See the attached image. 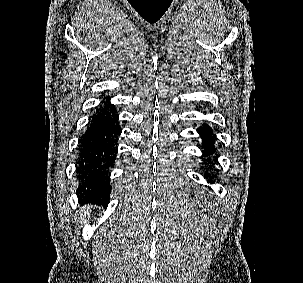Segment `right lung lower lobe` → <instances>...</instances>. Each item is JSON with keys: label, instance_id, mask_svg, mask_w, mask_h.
I'll return each instance as SVG.
<instances>
[{"label": "right lung lower lobe", "instance_id": "1", "mask_svg": "<svg viewBox=\"0 0 303 283\" xmlns=\"http://www.w3.org/2000/svg\"><path fill=\"white\" fill-rule=\"evenodd\" d=\"M118 117L114 105L106 102L105 107L98 110L81 139L78 167L80 201L102 205L109 202L111 186L108 169L114 163V144L121 133Z\"/></svg>", "mask_w": 303, "mask_h": 283}]
</instances>
